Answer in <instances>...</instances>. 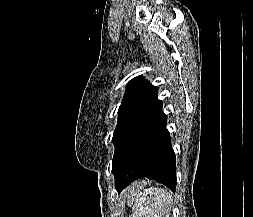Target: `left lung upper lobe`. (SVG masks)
Masks as SVG:
<instances>
[{
  "instance_id": "left-lung-upper-lobe-1",
  "label": "left lung upper lobe",
  "mask_w": 253,
  "mask_h": 217,
  "mask_svg": "<svg viewBox=\"0 0 253 217\" xmlns=\"http://www.w3.org/2000/svg\"><path fill=\"white\" fill-rule=\"evenodd\" d=\"M157 94V87L145 81L144 77L139 76L129 82L118 110V123L112 138L114 155L135 122L160 101Z\"/></svg>"
}]
</instances>
